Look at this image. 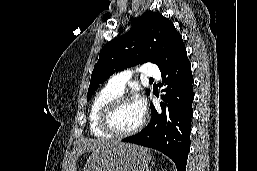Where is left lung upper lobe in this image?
Returning a JSON list of instances; mask_svg holds the SVG:
<instances>
[{
	"label": "left lung upper lobe",
	"instance_id": "5c2ea615",
	"mask_svg": "<svg viewBox=\"0 0 257 171\" xmlns=\"http://www.w3.org/2000/svg\"><path fill=\"white\" fill-rule=\"evenodd\" d=\"M185 47L173 23L157 12H145L124 35L110 41L100 51L91 75L87 99L99 85L117 71L152 62L162 67ZM149 95L150 90H146Z\"/></svg>",
	"mask_w": 257,
	"mask_h": 171
}]
</instances>
